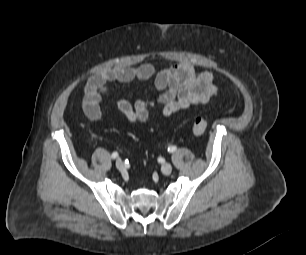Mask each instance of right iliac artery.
<instances>
[{"mask_svg": "<svg viewBox=\"0 0 306 255\" xmlns=\"http://www.w3.org/2000/svg\"><path fill=\"white\" fill-rule=\"evenodd\" d=\"M111 157L113 159H116L118 157V152H113Z\"/></svg>", "mask_w": 306, "mask_h": 255, "instance_id": "82829eb1", "label": "right iliac artery"}]
</instances>
